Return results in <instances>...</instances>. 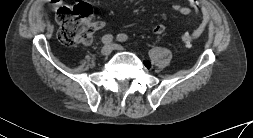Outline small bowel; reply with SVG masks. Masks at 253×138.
Returning <instances> with one entry per match:
<instances>
[{
	"instance_id": "small-bowel-1",
	"label": "small bowel",
	"mask_w": 253,
	"mask_h": 138,
	"mask_svg": "<svg viewBox=\"0 0 253 138\" xmlns=\"http://www.w3.org/2000/svg\"><path fill=\"white\" fill-rule=\"evenodd\" d=\"M46 2L50 5H60L63 0H46ZM172 8L174 11L183 14V15H188L192 12H195L197 15L200 13V8L197 0H190L189 5L184 6L179 3H174L172 5ZM202 22L199 25V27L194 31V33L200 34L207 26L210 18V13L207 8H202ZM95 30H101L104 28L105 24L102 21H95L93 22ZM166 31V26L163 23H158L155 24L152 27V33L155 35H160L163 34Z\"/></svg>"
}]
</instances>
